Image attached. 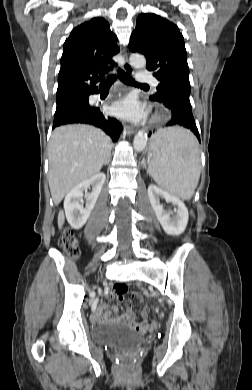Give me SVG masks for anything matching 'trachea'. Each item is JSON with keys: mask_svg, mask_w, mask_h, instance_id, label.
Segmentation results:
<instances>
[{"mask_svg": "<svg viewBox=\"0 0 252 390\" xmlns=\"http://www.w3.org/2000/svg\"><path fill=\"white\" fill-rule=\"evenodd\" d=\"M117 76L119 77V79H120L123 83H125V84H127V85L148 86L147 84H140V83L135 82V80H134L130 75H128L126 72H124L123 70H121V69L119 68V69H118V74H117V75H116V74H112V75L108 76L107 79L104 80V81L100 84V87H101V88L110 87V86L114 83V81H115V79H116Z\"/></svg>", "mask_w": 252, "mask_h": 390, "instance_id": "obj_1", "label": "trachea"}]
</instances>
